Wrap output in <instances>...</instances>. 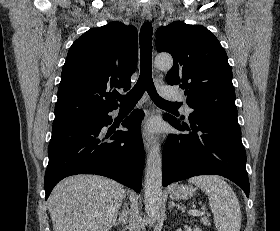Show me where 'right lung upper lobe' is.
Returning a JSON list of instances; mask_svg holds the SVG:
<instances>
[{"label": "right lung upper lobe", "mask_w": 280, "mask_h": 231, "mask_svg": "<svg viewBox=\"0 0 280 231\" xmlns=\"http://www.w3.org/2000/svg\"><path fill=\"white\" fill-rule=\"evenodd\" d=\"M137 54L133 26L115 21L85 32L70 47L63 66L53 123L117 109L108 91L131 87Z\"/></svg>", "instance_id": "right-lung-upper-lobe-1"}]
</instances>
